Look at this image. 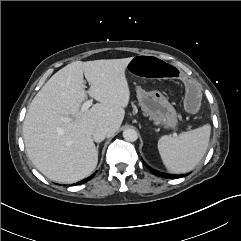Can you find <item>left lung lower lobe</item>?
I'll use <instances>...</instances> for the list:
<instances>
[{"instance_id":"1","label":"left lung lower lobe","mask_w":241,"mask_h":241,"mask_svg":"<svg viewBox=\"0 0 241 241\" xmlns=\"http://www.w3.org/2000/svg\"><path fill=\"white\" fill-rule=\"evenodd\" d=\"M148 169L156 176H159V177H163V178H180L182 177L183 175H169V174H163V173H160L158 171H155V170H152L151 168L148 167Z\"/></svg>"}]
</instances>
